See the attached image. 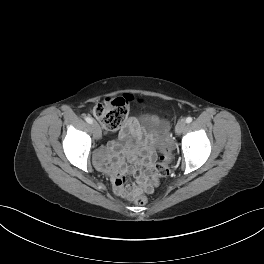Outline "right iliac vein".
Listing matches in <instances>:
<instances>
[{
    "label": "right iliac vein",
    "instance_id": "obj_1",
    "mask_svg": "<svg viewBox=\"0 0 264 264\" xmlns=\"http://www.w3.org/2000/svg\"><path fill=\"white\" fill-rule=\"evenodd\" d=\"M94 137L95 139L99 140L101 138V129L100 126L97 123L92 124Z\"/></svg>",
    "mask_w": 264,
    "mask_h": 264
}]
</instances>
